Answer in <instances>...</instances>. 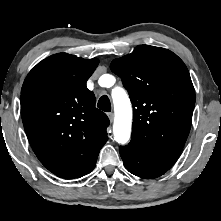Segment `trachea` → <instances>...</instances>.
<instances>
[{"label": "trachea", "instance_id": "obj_1", "mask_svg": "<svg viewBox=\"0 0 221 221\" xmlns=\"http://www.w3.org/2000/svg\"><path fill=\"white\" fill-rule=\"evenodd\" d=\"M97 107L100 108L101 110L105 112H110L111 111V103L107 95H103L97 104Z\"/></svg>", "mask_w": 221, "mask_h": 221}]
</instances>
